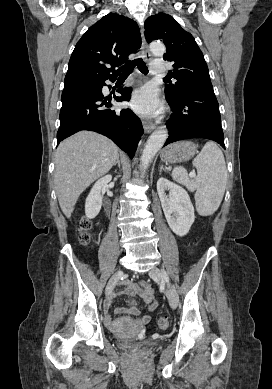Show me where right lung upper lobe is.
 <instances>
[{
	"label": "right lung upper lobe",
	"mask_w": 272,
	"mask_h": 389,
	"mask_svg": "<svg viewBox=\"0 0 272 389\" xmlns=\"http://www.w3.org/2000/svg\"><path fill=\"white\" fill-rule=\"evenodd\" d=\"M141 46L137 23L109 13L81 37L69 60L65 86L100 83L120 73L115 70Z\"/></svg>",
	"instance_id": "obj_1"
}]
</instances>
